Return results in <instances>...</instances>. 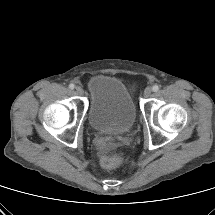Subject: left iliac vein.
<instances>
[{
    "instance_id": "1",
    "label": "left iliac vein",
    "mask_w": 215,
    "mask_h": 215,
    "mask_svg": "<svg viewBox=\"0 0 215 215\" xmlns=\"http://www.w3.org/2000/svg\"><path fill=\"white\" fill-rule=\"evenodd\" d=\"M151 93H152V89L150 87H147L145 90H144V97L148 98L151 96Z\"/></svg>"
}]
</instances>
